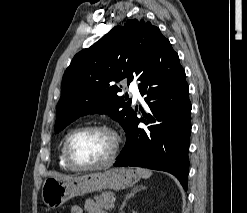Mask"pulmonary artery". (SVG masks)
<instances>
[{
	"label": "pulmonary artery",
	"mask_w": 247,
	"mask_h": 213,
	"mask_svg": "<svg viewBox=\"0 0 247 213\" xmlns=\"http://www.w3.org/2000/svg\"><path fill=\"white\" fill-rule=\"evenodd\" d=\"M129 91L133 94V97L135 99H139L140 98V93H139V90H138V87L135 83L131 82L129 84Z\"/></svg>",
	"instance_id": "e3ab8cb5"
}]
</instances>
